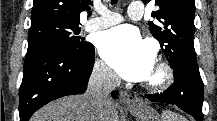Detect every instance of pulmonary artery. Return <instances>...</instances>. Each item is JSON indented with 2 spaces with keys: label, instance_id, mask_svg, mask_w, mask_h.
Returning <instances> with one entry per match:
<instances>
[{
  "label": "pulmonary artery",
  "instance_id": "1",
  "mask_svg": "<svg viewBox=\"0 0 217 121\" xmlns=\"http://www.w3.org/2000/svg\"><path fill=\"white\" fill-rule=\"evenodd\" d=\"M144 14V7L139 2H132L128 9V17L131 20H139ZM123 21L121 15L111 12L107 9L100 12V16L88 21L84 26L85 32H93L106 29Z\"/></svg>",
  "mask_w": 217,
  "mask_h": 121
}]
</instances>
